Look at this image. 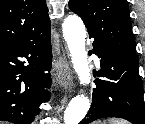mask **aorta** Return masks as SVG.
Wrapping results in <instances>:
<instances>
[{"label":"aorta","mask_w":145,"mask_h":124,"mask_svg":"<svg viewBox=\"0 0 145 124\" xmlns=\"http://www.w3.org/2000/svg\"><path fill=\"white\" fill-rule=\"evenodd\" d=\"M63 37L67 43L73 68L78 75L80 84L88 85L91 75L87 53L85 51L86 29L82 19L77 15H69L64 19ZM90 100L84 94L72 98L64 112L65 124H78L87 114Z\"/></svg>","instance_id":"762f6f07"}]
</instances>
